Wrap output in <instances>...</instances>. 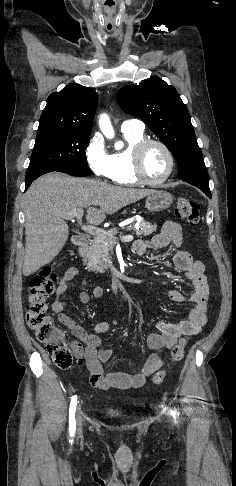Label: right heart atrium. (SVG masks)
Here are the masks:
<instances>
[{
  "label": "right heart atrium",
  "mask_w": 236,
  "mask_h": 486,
  "mask_svg": "<svg viewBox=\"0 0 236 486\" xmlns=\"http://www.w3.org/2000/svg\"><path fill=\"white\" fill-rule=\"evenodd\" d=\"M85 158L92 172L100 178L111 177V157L101 136L93 135L85 148Z\"/></svg>",
  "instance_id": "1"
}]
</instances>
